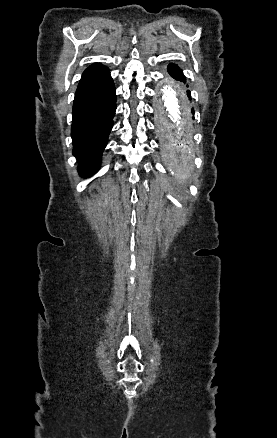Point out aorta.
<instances>
[{
  "label": "aorta",
  "instance_id": "762f6f07",
  "mask_svg": "<svg viewBox=\"0 0 277 438\" xmlns=\"http://www.w3.org/2000/svg\"><path fill=\"white\" fill-rule=\"evenodd\" d=\"M161 97L157 102V126L163 138V153L168 168L179 183L186 182L193 172L188 140L191 134L190 113L186 101L169 81L159 85Z\"/></svg>",
  "mask_w": 277,
  "mask_h": 438
}]
</instances>
